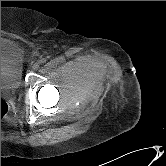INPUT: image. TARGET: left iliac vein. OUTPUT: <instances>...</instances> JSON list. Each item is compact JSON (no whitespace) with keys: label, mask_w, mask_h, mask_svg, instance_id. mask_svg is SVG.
<instances>
[{"label":"left iliac vein","mask_w":166,"mask_h":166,"mask_svg":"<svg viewBox=\"0 0 166 166\" xmlns=\"http://www.w3.org/2000/svg\"><path fill=\"white\" fill-rule=\"evenodd\" d=\"M32 68L33 70H37L39 68V63H34Z\"/></svg>","instance_id":"4c4485c4"}]
</instances>
